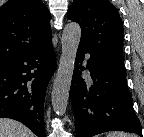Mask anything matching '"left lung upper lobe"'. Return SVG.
I'll list each match as a JSON object with an SVG mask.
<instances>
[{
	"mask_svg": "<svg viewBox=\"0 0 144 137\" xmlns=\"http://www.w3.org/2000/svg\"><path fill=\"white\" fill-rule=\"evenodd\" d=\"M68 18L79 23V46L95 57L124 68V31L119 12L108 0H74Z\"/></svg>",
	"mask_w": 144,
	"mask_h": 137,
	"instance_id": "1",
	"label": "left lung upper lobe"
}]
</instances>
